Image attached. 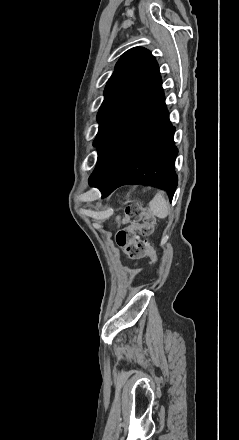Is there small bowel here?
Wrapping results in <instances>:
<instances>
[{"instance_id":"small-bowel-1","label":"small bowel","mask_w":239,"mask_h":440,"mask_svg":"<svg viewBox=\"0 0 239 440\" xmlns=\"http://www.w3.org/2000/svg\"><path fill=\"white\" fill-rule=\"evenodd\" d=\"M123 247H124V254L130 256V247H131V244H127V245H125V246H123Z\"/></svg>"}]
</instances>
